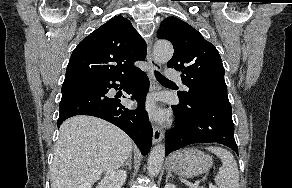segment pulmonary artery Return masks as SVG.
<instances>
[{"label":"pulmonary artery","mask_w":292,"mask_h":188,"mask_svg":"<svg viewBox=\"0 0 292 188\" xmlns=\"http://www.w3.org/2000/svg\"><path fill=\"white\" fill-rule=\"evenodd\" d=\"M166 77L168 79H173V80H180V74L178 71L174 70V69H171V68H168L166 70Z\"/></svg>","instance_id":"obj_1"}]
</instances>
